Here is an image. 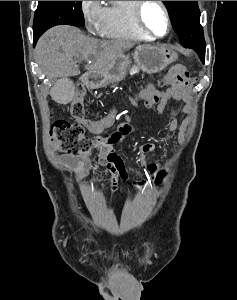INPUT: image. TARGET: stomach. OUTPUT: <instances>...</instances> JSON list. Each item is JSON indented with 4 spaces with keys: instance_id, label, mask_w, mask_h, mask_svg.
I'll list each match as a JSON object with an SVG mask.
<instances>
[{
    "instance_id": "stomach-1",
    "label": "stomach",
    "mask_w": 237,
    "mask_h": 300,
    "mask_svg": "<svg viewBox=\"0 0 237 300\" xmlns=\"http://www.w3.org/2000/svg\"><path fill=\"white\" fill-rule=\"evenodd\" d=\"M133 59L139 69L152 75V73H160L168 65L177 61L178 53L164 45H155V47L154 45H139L133 53ZM129 63L128 55H119L112 65H107L104 69L97 71L98 85L103 87L107 83L122 81L128 71Z\"/></svg>"
}]
</instances>
